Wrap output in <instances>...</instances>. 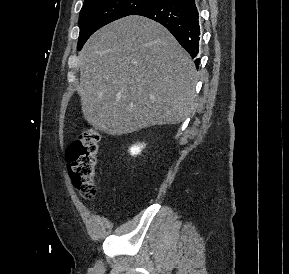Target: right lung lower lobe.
<instances>
[{"instance_id": "98d812e1", "label": "right lung lower lobe", "mask_w": 289, "mask_h": 274, "mask_svg": "<svg viewBox=\"0 0 289 274\" xmlns=\"http://www.w3.org/2000/svg\"><path fill=\"white\" fill-rule=\"evenodd\" d=\"M133 15L144 16L161 23L192 58L197 56L200 26L195 0H159ZM199 62V58L195 60L197 68Z\"/></svg>"}]
</instances>
